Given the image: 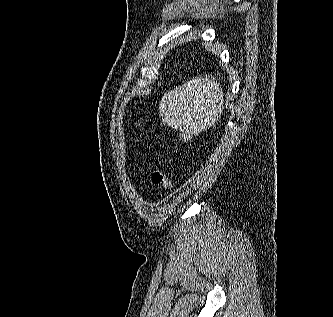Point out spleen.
<instances>
[{"label": "spleen", "mask_w": 333, "mask_h": 317, "mask_svg": "<svg viewBox=\"0 0 333 317\" xmlns=\"http://www.w3.org/2000/svg\"><path fill=\"white\" fill-rule=\"evenodd\" d=\"M222 88L210 77H197L166 92L159 113L168 126L199 133L213 126L223 112Z\"/></svg>", "instance_id": "obj_1"}]
</instances>
